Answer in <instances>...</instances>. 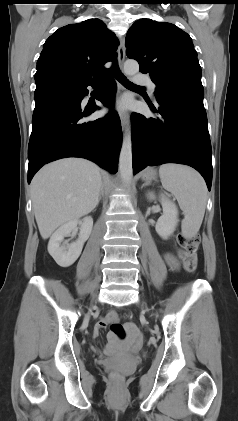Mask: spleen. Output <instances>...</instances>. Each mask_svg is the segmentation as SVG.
<instances>
[{"mask_svg":"<svg viewBox=\"0 0 238 421\" xmlns=\"http://www.w3.org/2000/svg\"><path fill=\"white\" fill-rule=\"evenodd\" d=\"M162 186L171 192L184 212L182 231L194 236L202 224L207 203V188L201 175L180 164H163L159 168Z\"/></svg>","mask_w":238,"mask_h":421,"instance_id":"obj_1","label":"spleen"}]
</instances>
